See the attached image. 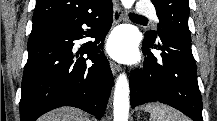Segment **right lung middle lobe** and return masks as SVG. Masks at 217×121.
I'll use <instances>...</instances> for the list:
<instances>
[{
    "label": "right lung middle lobe",
    "instance_id": "dd1d6c3e",
    "mask_svg": "<svg viewBox=\"0 0 217 121\" xmlns=\"http://www.w3.org/2000/svg\"><path fill=\"white\" fill-rule=\"evenodd\" d=\"M61 22H54V21H44V22H38V23H33L32 26V31H36L45 27L53 26L56 24H59Z\"/></svg>",
    "mask_w": 217,
    "mask_h": 121
}]
</instances>
